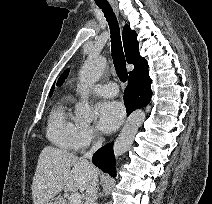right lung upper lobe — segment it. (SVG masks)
<instances>
[{
	"mask_svg": "<svg viewBox=\"0 0 212 204\" xmlns=\"http://www.w3.org/2000/svg\"><path fill=\"white\" fill-rule=\"evenodd\" d=\"M123 43L127 62L135 66L134 70L129 72V76L135 74L141 68L148 66L147 61L139 55L137 34L134 30H131L128 25H125L123 29ZM53 89L54 85L49 96L52 95Z\"/></svg>",
	"mask_w": 212,
	"mask_h": 204,
	"instance_id": "cb5924a9",
	"label": "right lung upper lobe"
}]
</instances>
